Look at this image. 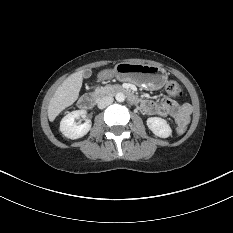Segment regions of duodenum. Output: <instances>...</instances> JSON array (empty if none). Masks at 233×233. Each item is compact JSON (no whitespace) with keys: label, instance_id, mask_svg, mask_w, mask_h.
Here are the masks:
<instances>
[{"label":"duodenum","instance_id":"410a0bca","mask_svg":"<svg viewBox=\"0 0 233 233\" xmlns=\"http://www.w3.org/2000/svg\"><path fill=\"white\" fill-rule=\"evenodd\" d=\"M110 92L112 93H121L124 94L128 97V99L132 102V103H138L139 102V98L134 95L133 93H131L128 89L120 87V86H114L112 88H110ZM97 96L95 94L92 93H88V94H84L80 97L78 104L80 107L85 108V109H89L91 107L94 106L95 102H96Z\"/></svg>","mask_w":233,"mask_h":233}]
</instances>
